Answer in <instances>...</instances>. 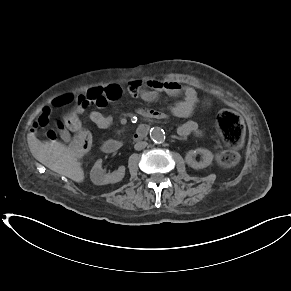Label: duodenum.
<instances>
[{
    "instance_id": "obj_1",
    "label": "duodenum",
    "mask_w": 291,
    "mask_h": 291,
    "mask_svg": "<svg viewBox=\"0 0 291 291\" xmlns=\"http://www.w3.org/2000/svg\"><path fill=\"white\" fill-rule=\"evenodd\" d=\"M147 111H152V110H147ZM153 112H157V111H153ZM147 133H148V127L146 125H141L137 129L136 133L133 135V140L139 141V140L143 139L147 135ZM120 148H121V143L117 140H114V139L106 140L102 144V150L105 153H114V152H117Z\"/></svg>"
}]
</instances>
